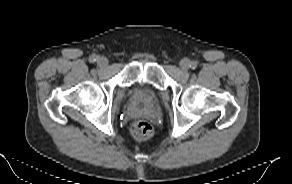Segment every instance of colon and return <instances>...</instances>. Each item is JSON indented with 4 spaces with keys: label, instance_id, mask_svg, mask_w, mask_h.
Returning <instances> with one entry per match:
<instances>
[{
    "label": "colon",
    "instance_id": "obj_1",
    "mask_svg": "<svg viewBox=\"0 0 292 184\" xmlns=\"http://www.w3.org/2000/svg\"><path fill=\"white\" fill-rule=\"evenodd\" d=\"M131 133L135 139L144 141L152 137L154 129L147 121L140 120L132 124Z\"/></svg>",
    "mask_w": 292,
    "mask_h": 184
}]
</instances>
